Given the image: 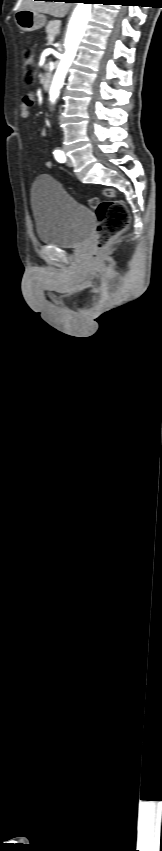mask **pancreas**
<instances>
[{
    "mask_svg": "<svg viewBox=\"0 0 162 851\" xmlns=\"http://www.w3.org/2000/svg\"><path fill=\"white\" fill-rule=\"evenodd\" d=\"M60 25L61 23L58 21H51L46 26L48 44H51L52 42L50 39L54 38L59 33Z\"/></svg>",
    "mask_w": 162,
    "mask_h": 851,
    "instance_id": "pancreas-1",
    "label": "pancreas"
}]
</instances>
